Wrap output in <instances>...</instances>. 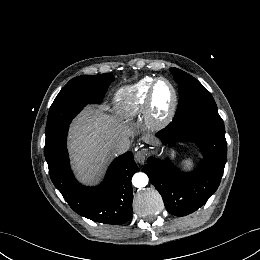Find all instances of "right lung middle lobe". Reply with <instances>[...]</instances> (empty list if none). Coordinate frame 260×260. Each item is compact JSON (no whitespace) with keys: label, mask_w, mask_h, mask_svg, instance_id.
Listing matches in <instances>:
<instances>
[{"label":"right lung middle lobe","mask_w":260,"mask_h":260,"mask_svg":"<svg viewBox=\"0 0 260 260\" xmlns=\"http://www.w3.org/2000/svg\"><path fill=\"white\" fill-rule=\"evenodd\" d=\"M110 73L78 76L69 81L55 98L46 125V143L52 142L88 103L102 101L113 81Z\"/></svg>","instance_id":"right-lung-middle-lobe-1"}]
</instances>
